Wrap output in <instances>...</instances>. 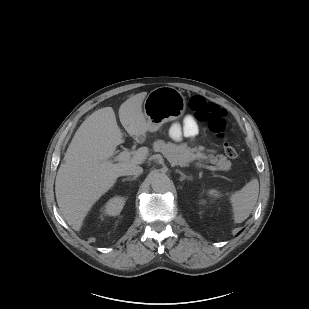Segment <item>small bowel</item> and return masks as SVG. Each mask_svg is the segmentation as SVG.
<instances>
[{
    "mask_svg": "<svg viewBox=\"0 0 309 309\" xmlns=\"http://www.w3.org/2000/svg\"><path fill=\"white\" fill-rule=\"evenodd\" d=\"M197 124L191 116H186L183 125L180 126L175 124L171 127L170 133L173 139L177 140L181 134L184 133L186 136L193 137L197 134Z\"/></svg>",
    "mask_w": 309,
    "mask_h": 309,
    "instance_id": "obj_1",
    "label": "small bowel"
}]
</instances>
